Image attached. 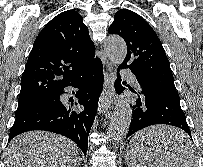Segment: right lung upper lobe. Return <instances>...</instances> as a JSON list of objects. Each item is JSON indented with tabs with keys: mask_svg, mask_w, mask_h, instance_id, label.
Instances as JSON below:
<instances>
[{
	"mask_svg": "<svg viewBox=\"0 0 203 167\" xmlns=\"http://www.w3.org/2000/svg\"><path fill=\"white\" fill-rule=\"evenodd\" d=\"M95 46L82 16L67 10L37 36L21 78L18 106L54 97L74 76L92 66Z\"/></svg>",
	"mask_w": 203,
	"mask_h": 167,
	"instance_id": "1",
	"label": "right lung upper lobe"
}]
</instances>
